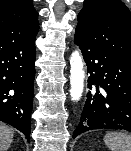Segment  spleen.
Returning <instances> with one entry per match:
<instances>
[{"instance_id": "spleen-1", "label": "spleen", "mask_w": 131, "mask_h": 151, "mask_svg": "<svg viewBox=\"0 0 131 151\" xmlns=\"http://www.w3.org/2000/svg\"><path fill=\"white\" fill-rule=\"evenodd\" d=\"M104 143L111 151H131V136L125 133H107Z\"/></svg>"}]
</instances>
